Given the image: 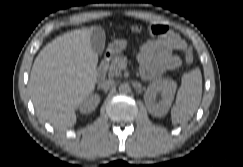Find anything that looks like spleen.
Masks as SVG:
<instances>
[{"label": "spleen", "mask_w": 243, "mask_h": 167, "mask_svg": "<svg viewBox=\"0 0 243 167\" xmlns=\"http://www.w3.org/2000/svg\"><path fill=\"white\" fill-rule=\"evenodd\" d=\"M181 80L175 105L171 109L173 124L189 121L197 111L202 98V75L199 68L183 74Z\"/></svg>", "instance_id": "spleen-1"}]
</instances>
